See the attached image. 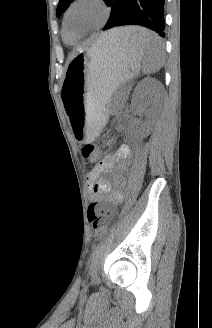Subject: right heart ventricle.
I'll use <instances>...</instances> for the list:
<instances>
[{"label":"right heart ventricle","instance_id":"1","mask_svg":"<svg viewBox=\"0 0 212 328\" xmlns=\"http://www.w3.org/2000/svg\"><path fill=\"white\" fill-rule=\"evenodd\" d=\"M64 39L67 43L73 44L77 40V36L75 34L70 33L69 31H65L63 29Z\"/></svg>","mask_w":212,"mask_h":328}]
</instances>
